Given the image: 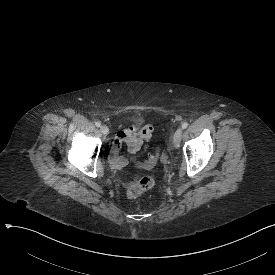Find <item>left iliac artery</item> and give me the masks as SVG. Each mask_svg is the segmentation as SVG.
Returning a JSON list of instances; mask_svg holds the SVG:
<instances>
[{"label": "left iliac artery", "instance_id": "1", "mask_svg": "<svg viewBox=\"0 0 275 275\" xmlns=\"http://www.w3.org/2000/svg\"><path fill=\"white\" fill-rule=\"evenodd\" d=\"M181 126H182L183 129H186L188 127V123L187 122H183Z\"/></svg>", "mask_w": 275, "mask_h": 275}]
</instances>
